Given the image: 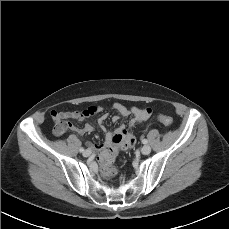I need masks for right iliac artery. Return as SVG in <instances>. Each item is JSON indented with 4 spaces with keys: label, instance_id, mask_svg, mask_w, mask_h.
<instances>
[{
    "label": "right iliac artery",
    "instance_id": "82829eb1",
    "mask_svg": "<svg viewBox=\"0 0 229 229\" xmlns=\"http://www.w3.org/2000/svg\"><path fill=\"white\" fill-rule=\"evenodd\" d=\"M79 151H80V152H84V148L81 147V148L79 149Z\"/></svg>",
    "mask_w": 229,
    "mask_h": 229
}]
</instances>
